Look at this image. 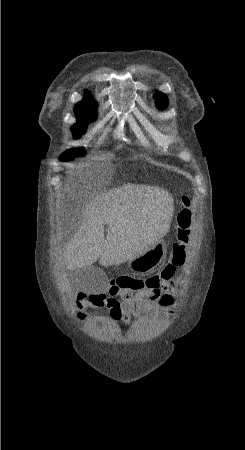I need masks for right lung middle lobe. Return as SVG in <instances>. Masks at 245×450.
Returning a JSON list of instances; mask_svg holds the SVG:
<instances>
[{
  "label": "right lung middle lobe",
  "instance_id": "right-lung-middle-lobe-1",
  "mask_svg": "<svg viewBox=\"0 0 245 450\" xmlns=\"http://www.w3.org/2000/svg\"><path fill=\"white\" fill-rule=\"evenodd\" d=\"M76 116L78 119V123L74 124L71 127V130L73 132V135L75 137H78V136H81L85 132L87 123L90 122L94 117H96L95 107L85 110ZM85 154H86V152H84V151H80L77 153L65 152L61 155V157L59 159H60V161H63V162L70 161V160L74 159V157L84 156Z\"/></svg>",
  "mask_w": 245,
  "mask_h": 450
}]
</instances>
